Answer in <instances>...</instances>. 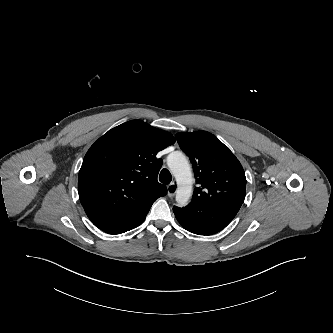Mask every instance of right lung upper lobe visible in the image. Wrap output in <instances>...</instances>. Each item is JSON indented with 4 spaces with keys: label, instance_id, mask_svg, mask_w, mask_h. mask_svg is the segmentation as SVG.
<instances>
[{
    "label": "right lung upper lobe",
    "instance_id": "cb5924a9",
    "mask_svg": "<svg viewBox=\"0 0 333 333\" xmlns=\"http://www.w3.org/2000/svg\"><path fill=\"white\" fill-rule=\"evenodd\" d=\"M174 142L170 133L131 120L90 147L79 171L78 193L95 226L104 229L138 219L166 195L157 181L162 160L156 155Z\"/></svg>",
    "mask_w": 333,
    "mask_h": 333
}]
</instances>
